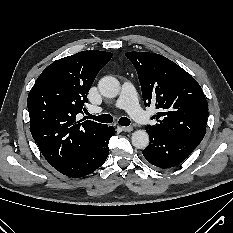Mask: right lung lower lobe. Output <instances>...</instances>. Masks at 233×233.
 <instances>
[{"label":"right lung lower lobe","mask_w":233,"mask_h":233,"mask_svg":"<svg viewBox=\"0 0 233 233\" xmlns=\"http://www.w3.org/2000/svg\"><path fill=\"white\" fill-rule=\"evenodd\" d=\"M114 134L115 129L109 126L98 143L88 152L76 160L57 168V170L69 177H83L92 173L106 161L109 154V139Z\"/></svg>","instance_id":"98d812e1"}]
</instances>
